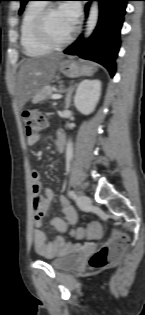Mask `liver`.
I'll list each match as a JSON object with an SVG mask.
<instances>
[{"mask_svg": "<svg viewBox=\"0 0 145 315\" xmlns=\"http://www.w3.org/2000/svg\"><path fill=\"white\" fill-rule=\"evenodd\" d=\"M62 58V54H53L23 61L16 86L17 108L21 109L29 99L35 97L44 86L51 82Z\"/></svg>", "mask_w": 145, "mask_h": 315, "instance_id": "obj_1", "label": "liver"}]
</instances>
